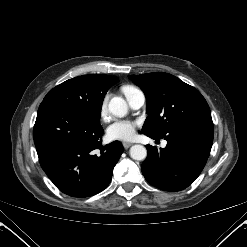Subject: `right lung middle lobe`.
<instances>
[{
	"mask_svg": "<svg viewBox=\"0 0 247 247\" xmlns=\"http://www.w3.org/2000/svg\"><path fill=\"white\" fill-rule=\"evenodd\" d=\"M106 92L94 74L78 76L50 90L40 106L57 104L70 107L99 122Z\"/></svg>",
	"mask_w": 247,
	"mask_h": 247,
	"instance_id": "1",
	"label": "right lung middle lobe"
}]
</instances>
